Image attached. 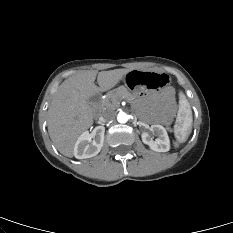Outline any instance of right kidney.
<instances>
[{
	"label": "right kidney",
	"mask_w": 233,
	"mask_h": 233,
	"mask_svg": "<svg viewBox=\"0 0 233 233\" xmlns=\"http://www.w3.org/2000/svg\"><path fill=\"white\" fill-rule=\"evenodd\" d=\"M105 128L98 126L90 133L83 132L74 146V156L77 159H86L96 156L103 146Z\"/></svg>",
	"instance_id": "right-kidney-1"
}]
</instances>
